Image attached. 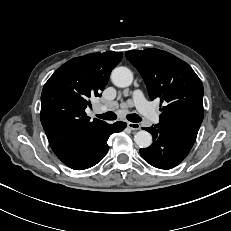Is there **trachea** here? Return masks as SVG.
Wrapping results in <instances>:
<instances>
[{
    "label": "trachea",
    "mask_w": 231,
    "mask_h": 231,
    "mask_svg": "<svg viewBox=\"0 0 231 231\" xmlns=\"http://www.w3.org/2000/svg\"><path fill=\"white\" fill-rule=\"evenodd\" d=\"M96 116L103 120H116L117 119V115L113 112H106V113L96 115ZM126 117L130 122H133V123H138L142 121V118L138 114H135V113L128 114Z\"/></svg>",
    "instance_id": "obj_1"
}]
</instances>
